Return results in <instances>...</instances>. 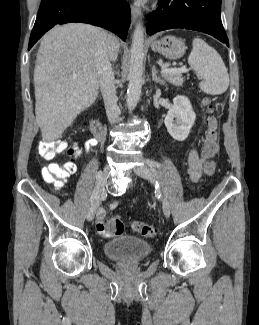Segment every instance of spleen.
Wrapping results in <instances>:
<instances>
[{"instance_id":"spleen-1","label":"spleen","mask_w":259,"mask_h":325,"mask_svg":"<svg viewBox=\"0 0 259 325\" xmlns=\"http://www.w3.org/2000/svg\"><path fill=\"white\" fill-rule=\"evenodd\" d=\"M192 47L188 63L203 79L200 89L210 95L224 93L229 86V75L219 53L200 38L193 39Z\"/></svg>"}]
</instances>
